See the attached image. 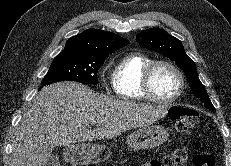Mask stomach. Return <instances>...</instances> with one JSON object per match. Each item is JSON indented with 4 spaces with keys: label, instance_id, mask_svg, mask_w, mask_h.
Instances as JSON below:
<instances>
[{
    "label": "stomach",
    "instance_id": "1",
    "mask_svg": "<svg viewBox=\"0 0 231 166\" xmlns=\"http://www.w3.org/2000/svg\"><path fill=\"white\" fill-rule=\"evenodd\" d=\"M168 136V130L162 126H146L128 135L126 143L131 149L147 150L165 143ZM63 156L65 161L70 163L97 164L109 158L110 150L100 144L81 143L66 147Z\"/></svg>",
    "mask_w": 231,
    "mask_h": 166
}]
</instances>
